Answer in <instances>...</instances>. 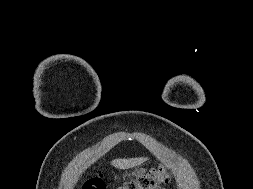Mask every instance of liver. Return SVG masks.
Returning <instances> with one entry per match:
<instances>
[{
  "mask_svg": "<svg viewBox=\"0 0 253 189\" xmlns=\"http://www.w3.org/2000/svg\"><path fill=\"white\" fill-rule=\"evenodd\" d=\"M147 158L141 157V158H128V159H115L112 161V164L114 167L118 169H128L135 166H138L145 162Z\"/></svg>",
  "mask_w": 253,
  "mask_h": 189,
  "instance_id": "liver-1",
  "label": "liver"
}]
</instances>
